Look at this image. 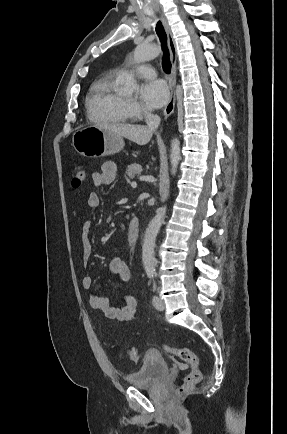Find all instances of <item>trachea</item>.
Wrapping results in <instances>:
<instances>
[{
  "instance_id": "1",
  "label": "trachea",
  "mask_w": 287,
  "mask_h": 434,
  "mask_svg": "<svg viewBox=\"0 0 287 434\" xmlns=\"http://www.w3.org/2000/svg\"><path fill=\"white\" fill-rule=\"evenodd\" d=\"M156 33L160 39L162 50H163V59H162L163 70L166 74H169L171 72V62L169 57V50L167 47V35L160 21H158L156 24Z\"/></svg>"
}]
</instances>
